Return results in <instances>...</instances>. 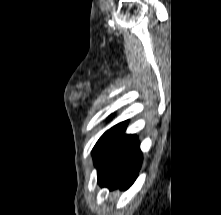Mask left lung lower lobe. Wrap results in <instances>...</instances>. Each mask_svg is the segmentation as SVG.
Masks as SVG:
<instances>
[{
  "mask_svg": "<svg viewBox=\"0 0 221 215\" xmlns=\"http://www.w3.org/2000/svg\"><path fill=\"white\" fill-rule=\"evenodd\" d=\"M128 120L112 127L94 160L98 183L109 189L129 188L138 176L142 152L135 134H125Z\"/></svg>",
  "mask_w": 221,
  "mask_h": 215,
  "instance_id": "1",
  "label": "left lung lower lobe"
}]
</instances>
